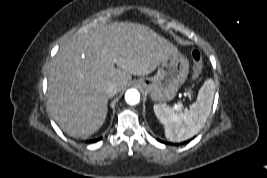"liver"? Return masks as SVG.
Masks as SVG:
<instances>
[{
  "instance_id": "1",
  "label": "liver",
  "mask_w": 267,
  "mask_h": 178,
  "mask_svg": "<svg viewBox=\"0 0 267 178\" xmlns=\"http://www.w3.org/2000/svg\"><path fill=\"white\" fill-rule=\"evenodd\" d=\"M177 48L147 26L114 22L62 45L48 72V104L61 129L87 138L107 115L109 83L121 91L132 75H148ZM117 67H116V66Z\"/></svg>"
}]
</instances>
